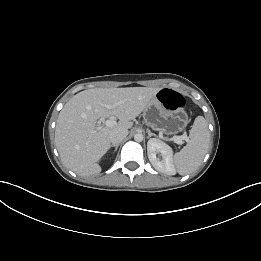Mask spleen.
<instances>
[{"mask_svg":"<svg viewBox=\"0 0 261 261\" xmlns=\"http://www.w3.org/2000/svg\"><path fill=\"white\" fill-rule=\"evenodd\" d=\"M190 141L174 155L173 163L180 175L194 172L201 165L209 147L208 125L203 116H198L190 130Z\"/></svg>","mask_w":261,"mask_h":261,"instance_id":"obj_1","label":"spleen"}]
</instances>
